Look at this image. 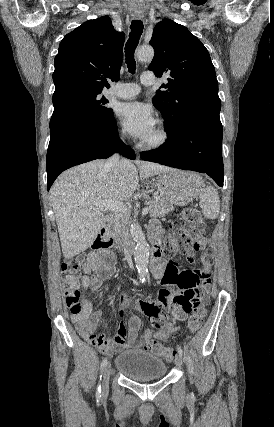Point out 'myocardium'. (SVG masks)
Wrapping results in <instances>:
<instances>
[{
    "instance_id": "myocardium-1",
    "label": "myocardium",
    "mask_w": 274,
    "mask_h": 427,
    "mask_svg": "<svg viewBox=\"0 0 274 427\" xmlns=\"http://www.w3.org/2000/svg\"><path fill=\"white\" fill-rule=\"evenodd\" d=\"M157 127L159 129L160 136L156 141H142L140 143V147L146 151L149 152H158L163 150L165 147H167L171 141L172 135L171 131L168 128V126L163 123L159 122L157 124Z\"/></svg>"
}]
</instances>
